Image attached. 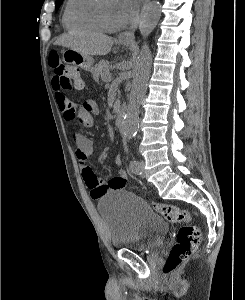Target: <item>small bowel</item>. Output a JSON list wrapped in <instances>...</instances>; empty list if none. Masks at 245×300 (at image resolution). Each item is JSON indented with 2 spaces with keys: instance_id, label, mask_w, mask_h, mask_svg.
<instances>
[{
  "instance_id": "c3829d8e",
  "label": "small bowel",
  "mask_w": 245,
  "mask_h": 300,
  "mask_svg": "<svg viewBox=\"0 0 245 300\" xmlns=\"http://www.w3.org/2000/svg\"><path fill=\"white\" fill-rule=\"evenodd\" d=\"M52 87L55 92V99L64 119L68 122L76 120L82 128H89L93 125L94 117L98 115L99 109L94 101H85L82 104L72 103L64 94V90L58 80L53 77ZM70 141L75 145V155L82 171L83 180L90 190L93 199H99L109 191L124 189L127 185V173L118 170L115 176L110 178H99L89 165L93 157L94 149L92 141L84 136L76 126L68 130ZM123 162L122 154H117L115 164L121 165Z\"/></svg>"
}]
</instances>
